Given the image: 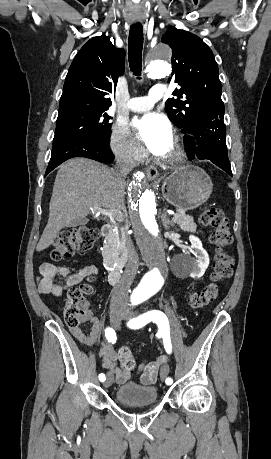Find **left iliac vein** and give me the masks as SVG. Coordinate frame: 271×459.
I'll list each match as a JSON object with an SVG mask.
<instances>
[{"label":"left iliac vein","mask_w":271,"mask_h":459,"mask_svg":"<svg viewBox=\"0 0 271 459\" xmlns=\"http://www.w3.org/2000/svg\"><path fill=\"white\" fill-rule=\"evenodd\" d=\"M135 314L133 312L127 311L126 314L124 315V318L126 320L131 319ZM169 374V367L167 364H164L161 369H160V377L161 379H165Z\"/></svg>","instance_id":"obj_1"}]
</instances>
